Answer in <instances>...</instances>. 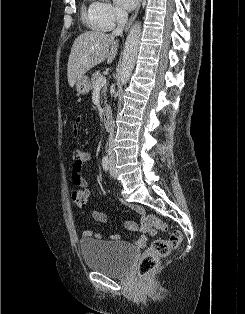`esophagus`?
Instances as JSON below:
<instances>
[{"label": "esophagus", "instance_id": "34e87169", "mask_svg": "<svg viewBox=\"0 0 245 314\" xmlns=\"http://www.w3.org/2000/svg\"><path fill=\"white\" fill-rule=\"evenodd\" d=\"M141 2H142V0H139L138 5H137L135 11L133 12V14L131 15L130 19L126 23V25H125V32H127L130 29L132 23L136 19L137 15H138V12H139V9H140V6H141Z\"/></svg>", "mask_w": 245, "mask_h": 314}]
</instances>
